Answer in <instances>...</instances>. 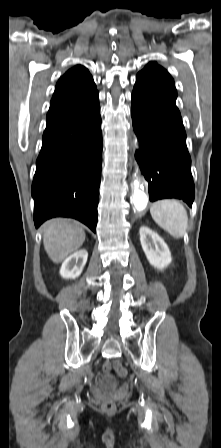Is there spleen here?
<instances>
[{
	"label": "spleen",
	"instance_id": "obj_1",
	"mask_svg": "<svg viewBox=\"0 0 221 448\" xmlns=\"http://www.w3.org/2000/svg\"><path fill=\"white\" fill-rule=\"evenodd\" d=\"M153 220L172 237L182 238L187 231L188 215L184 206L176 200L156 201L150 208Z\"/></svg>",
	"mask_w": 221,
	"mask_h": 448
}]
</instances>
